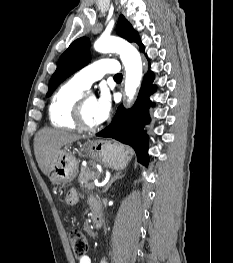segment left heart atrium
Here are the masks:
<instances>
[{"label": "left heart atrium", "instance_id": "left-heart-atrium-1", "mask_svg": "<svg viewBox=\"0 0 233 263\" xmlns=\"http://www.w3.org/2000/svg\"><path fill=\"white\" fill-rule=\"evenodd\" d=\"M111 111V96L106 88H103L95 99L93 107V120L96 125L105 121Z\"/></svg>", "mask_w": 233, "mask_h": 263}]
</instances>
